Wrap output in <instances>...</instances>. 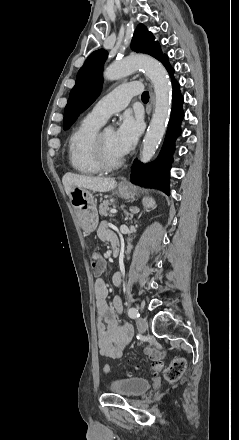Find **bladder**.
Masks as SVG:
<instances>
[{"mask_svg":"<svg viewBox=\"0 0 239 440\" xmlns=\"http://www.w3.org/2000/svg\"><path fill=\"white\" fill-rule=\"evenodd\" d=\"M151 384L148 379L140 377H128L114 379L108 384L110 392L122 396L134 397L148 391Z\"/></svg>","mask_w":239,"mask_h":440,"instance_id":"31cf9c89","label":"bladder"}]
</instances>
